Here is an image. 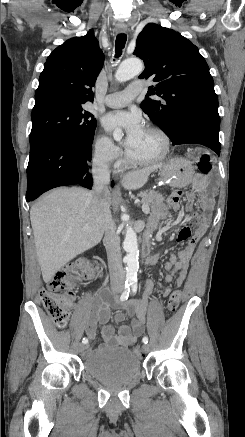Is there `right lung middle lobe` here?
Returning a JSON list of instances; mask_svg holds the SVG:
<instances>
[{"label":"right lung middle lobe","instance_id":"1","mask_svg":"<svg viewBox=\"0 0 245 437\" xmlns=\"http://www.w3.org/2000/svg\"><path fill=\"white\" fill-rule=\"evenodd\" d=\"M30 148L45 138L68 145H86L93 141L96 119L82 105L50 102L34 106Z\"/></svg>","mask_w":245,"mask_h":437}]
</instances>
